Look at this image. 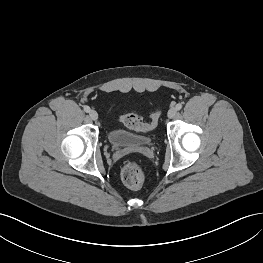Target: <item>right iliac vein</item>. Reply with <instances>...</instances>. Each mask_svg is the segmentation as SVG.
Listing matches in <instances>:
<instances>
[{"label": "right iliac vein", "mask_w": 263, "mask_h": 263, "mask_svg": "<svg viewBox=\"0 0 263 263\" xmlns=\"http://www.w3.org/2000/svg\"><path fill=\"white\" fill-rule=\"evenodd\" d=\"M89 117L92 119V120H97L98 119V113L95 111V110H91L89 112Z\"/></svg>", "instance_id": "63e3f726"}]
</instances>
